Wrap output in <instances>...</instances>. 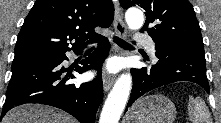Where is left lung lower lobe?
I'll list each match as a JSON object with an SVG mask.
<instances>
[{
	"label": "left lung lower lobe",
	"mask_w": 221,
	"mask_h": 123,
	"mask_svg": "<svg viewBox=\"0 0 221 123\" xmlns=\"http://www.w3.org/2000/svg\"><path fill=\"white\" fill-rule=\"evenodd\" d=\"M155 50L158 61L151 68L131 69L133 89L126 109L147 92L177 81L197 83L209 92L203 53L157 47Z\"/></svg>",
	"instance_id": "obj_1"
}]
</instances>
